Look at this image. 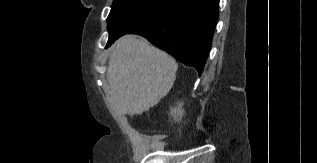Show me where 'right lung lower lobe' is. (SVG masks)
Instances as JSON below:
<instances>
[{
  "instance_id": "right-lung-lower-lobe-1",
  "label": "right lung lower lobe",
  "mask_w": 317,
  "mask_h": 163,
  "mask_svg": "<svg viewBox=\"0 0 317 163\" xmlns=\"http://www.w3.org/2000/svg\"><path fill=\"white\" fill-rule=\"evenodd\" d=\"M218 6L219 0H173L159 15L128 34L145 37L186 66L196 68L200 76L217 23Z\"/></svg>"
}]
</instances>
